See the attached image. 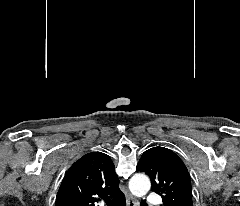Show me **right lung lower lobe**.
Here are the masks:
<instances>
[{
  "instance_id": "right-lung-lower-lobe-1",
  "label": "right lung lower lobe",
  "mask_w": 240,
  "mask_h": 206,
  "mask_svg": "<svg viewBox=\"0 0 240 206\" xmlns=\"http://www.w3.org/2000/svg\"><path fill=\"white\" fill-rule=\"evenodd\" d=\"M115 204L117 206H124L125 205V196L124 194L120 195L119 197H117L115 200H114Z\"/></svg>"
}]
</instances>
